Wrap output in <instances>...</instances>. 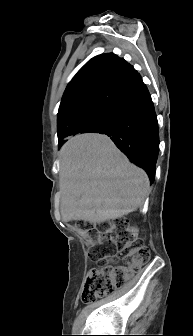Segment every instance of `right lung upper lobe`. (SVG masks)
<instances>
[{"label":"right lung upper lobe","instance_id":"right-lung-upper-lobe-1","mask_svg":"<svg viewBox=\"0 0 193 336\" xmlns=\"http://www.w3.org/2000/svg\"><path fill=\"white\" fill-rule=\"evenodd\" d=\"M138 75L124 59L113 53L102 54L87 62L68 84L58 112L59 146L78 118L102 109H111L122 92ZM81 133V132H80Z\"/></svg>","mask_w":193,"mask_h":336}]
</instances>
